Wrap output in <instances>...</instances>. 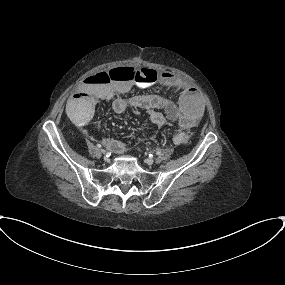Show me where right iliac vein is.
<instances>
[{
    "mask_svg": "<svg viewBox=\"0 0 285 285\" xmlns=\"http://www.w3.org/2000/svg\"><path fill=\"white\" fill-rule=\"evenodd\" d=\"M99 152H100L101 154H106L105 149H100Z\"/></svg>",
    "mask_w": 285,
    "mask_h": 285,
    "instance_id": "1",
    "label": "right iliac vein"
}]
</instances>
